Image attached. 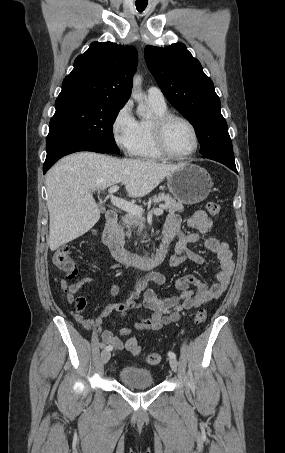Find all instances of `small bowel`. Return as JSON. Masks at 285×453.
<instances>
[{
  "label": "small bowel",
  "instance_id": "obj_1",
  "mask_svg": "<svg viewBox=\"0 0 285 453\" xmlns=\"http://www.w3.org/2000/svg\"><path fill=\"white\" fill-rule=\"evenodd\" d=\"M188 227L195 229V233L185 234L181 230V219L177 214H170L167 217L163 239L169 243L176 240L175 254L170 259L171 267H178L186 260H190L197 264L204 262L203 256L190 250L188 245L198 242L202 236L208 234L214 227V222L209 218L204 211H196L187 221ZM205 247L217 256L218 272L216 280L212 285H207L193 275H186L176 280V288L179 294L176 296L160 299L152 290H146L143 300H140V291L144 290L149 281L158 285H163L166 282L164 275L160 273H151L138 284V289L124 303H115L105 306L99 316L95 319L88 318L82 314L86 306L84 298H77L74 295L81 287L89 282L92 277L85 276L77 280L72 285H68L66 281L61 282V289L67 293L69 303L75 302L76 311L75 319L86 330L95 331L101 338L102 343L119 351L124 347L123 341L112 331L102 328L103 318L115 312L119 316H124L128 309L145 308L151 311L147 317H142L136 324L137 331H155L169 322L176 321L181 315L193 310L209 301L218 299L227 289L231 275L234 269L232 253L229 245L215 237H208L204 240ZM118 287L116 284L110 286L111 294H116ZM132 333L129 328H120L121 336H128Z\"/></svg>",
  "mask_w": 285,
  "mask_h": 453
}]
</instances>
